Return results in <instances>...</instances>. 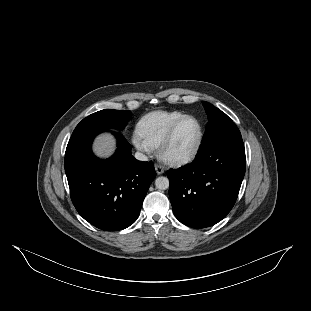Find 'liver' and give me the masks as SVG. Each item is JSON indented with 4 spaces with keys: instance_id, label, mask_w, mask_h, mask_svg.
<instances>
[{
    "instance_id": "obj_1",
    "label": "liver",
    "mask_w": 311,
    "mask_h": 311,
    "mask_svg": "<svg viewBox=\"0 0 311 311\" xmlns=\"http://www.w3.org/2000/svg\"><path fill=\"white\" fill-rule=\"evenodd\" d=\"M115 150V139L110 134H101L93 145L94 153L99 157H109Z\"/></svg>"
}]
</instances>
